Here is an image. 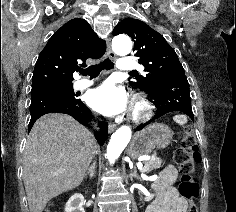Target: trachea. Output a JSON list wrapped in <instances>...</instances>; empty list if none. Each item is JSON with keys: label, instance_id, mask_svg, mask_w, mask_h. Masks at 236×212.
<instances>
[{"label": "trachea", "instance_id": "1", "mask_svg": "<svg viewBox=\"0 0 236 212\" xmlns=\"http://www.w3.org/2000/svg\"><path fill=\"white\" fill-rule=\"evenodd\" d=\"M114 65L111 62V60L109 58L104 59L102 62L92 65L86 69H80L79 73L81 75H88L90 76V78H95L97 77L102 70L106 69V70H110L113 69ZM130 73H136L135 71H132Z\"/></svg>", "mask_w": 236, "mask_h": 212}]
</instances>
